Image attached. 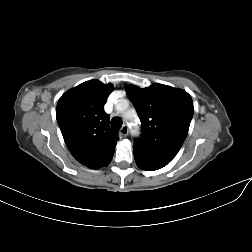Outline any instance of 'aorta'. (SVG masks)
<instances>
[{"label": "aorta", "instance_id": "aorta-1", "mask_svg": "<svg viewBox=\"0 0 252 252\" xmlns=\"http://www.w3.org/2000/svg\"><path fill=\"white\" fill-rule=\"evenodd\" d=\"M129 113H131V112L130 111L126 112L125 116L127 117ZM132 132L135 134L138 133V129H137L135 123L133 124Z\"/></svg>", "mask_w": 252, "mask_h": 252}]
</instances>
